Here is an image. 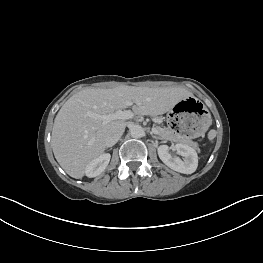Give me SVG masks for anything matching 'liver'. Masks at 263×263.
<instances>
[{
  "label": "liver",
  "instance_id": "1",
  "mask_svg": "<svg viewBox=\"0 0 263 263\" xmlns=\"http://www.w3.org/2000/svg\"><path fill=\"white\" fill-rule=\"evenodd\" d=\"M191 96L184 88L118 86L112 89L86 88L74 94L55 117L51 145L65 172L81 179L86 166L106 149V139L114 129H125V120L106 124L88 113L106 115L122 110L131 102L135 115H160L180 100Z\"/></svg>",
  "mask_w": 263,
  "mask_h": 263
}]
</instances>
